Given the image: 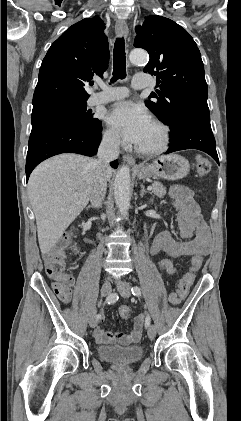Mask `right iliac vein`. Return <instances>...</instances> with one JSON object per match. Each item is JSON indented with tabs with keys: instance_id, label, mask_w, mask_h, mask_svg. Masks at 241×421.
Instances as JSON below:
<instances>
[{
	"instance_id": "obj_1",
	"label": "right iliac vein",
	"mask_w": 241,
	"mask_h": 421,
	"mask_svg": "<svg viewBox=\"0 0 241 421\" xmlns=\"http://www.w3.org/2000/svg\"><path fill=\"white\" fill-rule=\"evenodd\" d=\"M111 293V284L109 281H105L101 287V296H107ZM90 327L94 328L97 325L96 316L93 314L89 318Z\"/></svg>"
}]
</instances>
